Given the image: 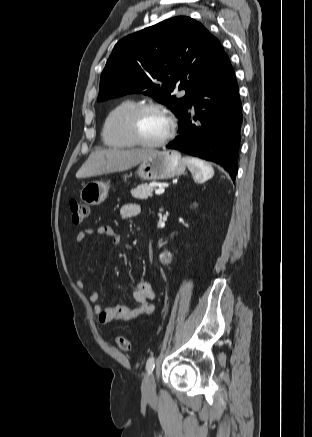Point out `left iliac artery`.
<instances>
[{"label":"left iliac artery","mask_w":312,"mask_h":437,"mask_svg":"<svg viewBox=\"0 0 312 437\" xmlns=\"http://www.w3.org/2000/svg\"><path fill=\"white\" fill-rule=\"evenodd\" d=\"M154 367H155V358L151 356L146 362V370L148 371V373H151L154 370Z\"/></svg>","instance_id":"left-iliac-artery-1"}]
</instances>
